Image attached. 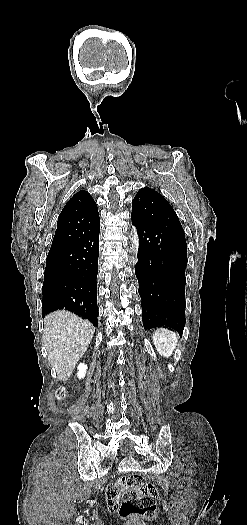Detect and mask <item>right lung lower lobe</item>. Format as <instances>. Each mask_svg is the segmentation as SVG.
Segmentation results:
<instances>
[{"instance_id": "obj_1", "label": "right lung lower lobe", "mask_w": 247, "mask_h": 525, "mask_svg": "<svg viewBox=\"0 0 247 525\" xmlns=\"http://www.w3.org/2000/svg\"><path fill=\"white\" fill-rule=\"evenodd\" d=\"M100 226L71 244L49 252L42 287V316L65 309L95 326Z\"/></svg>"}]
</instances>
